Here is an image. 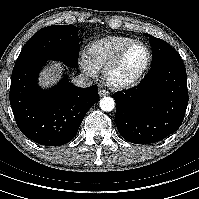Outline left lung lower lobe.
<instances>
[{"label":"left lung lower lobe","instance_id":"left-lung-lower-lobe-1","mask_svg":"<svg viewBox=\"0 0 199 199\" xmlns=\"http://www.w3.org/2000/svg\"><path fill=\"white\" fill-rule=\"evenodd\" d=\"M116 125L132 143L163 140L181 126L188 104L187 76L180 56L154 65L142 82L129 92L116 93Z\"/></svg>","mask_w":199,"mask_h":199}]
</instances>
